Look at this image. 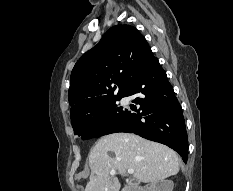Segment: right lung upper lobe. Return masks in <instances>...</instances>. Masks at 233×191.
Segmentation results:
<instances>
[{
	"label": "right lung upper lobe",
	"instance_id": "1",
	"mask_svg": "<svg viewBox=\"0 0 233 191\" xmlns=\"http://www.w3.org/2000/svg\"><path fill=\"white\" fill-rule=\"evenodd\" d=\"M152 56L150 46L135 27L120 24L110 28L72 70L68 92L70 116L124 97ZM114 84L118 85L117 95L113 94Z\"/></svg>",
	"mask_w": 233,
	"mask_h": 191
}]
</instances>
